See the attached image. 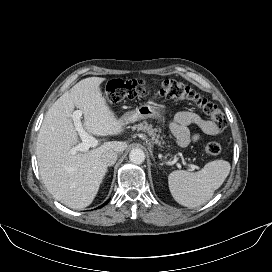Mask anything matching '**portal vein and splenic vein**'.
Segmentation results:
<instances>
[{"label":"portal vein and splenic vein","instance_id":"18ae733b","mask_svg":"<svg viewBox=\"0 0 272 272\" xmlns=\"http://www.w3.org/2000/svg\"><path fill=\"white\" fill-rule=\"evenodd\" d=\"M81 116H82V111H80V110H75L71 115V117H72V119L74 121L76 131H78L79 136H80V138L82 140L81 143H79L78 145H76L75 147H73L70 150L71 155H74L79 151L87 152L90 147H96V146L99 145V141L96 138H94L93 136L89 135L83 129V126H82V123H81ZM182 164L187 165L189 168H191L192 171H194L195 169H198V167L196 165L187 164L184 161L182 162Z\"/></svg>","mask_w":272,"mask_h":272}]
</instances>
